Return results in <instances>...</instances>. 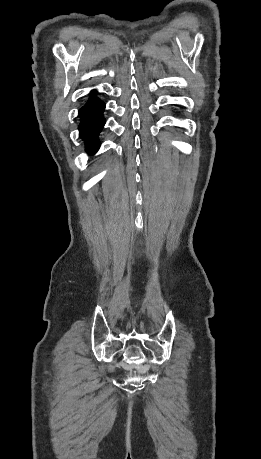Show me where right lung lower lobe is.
<instances>
[{"mask_svg":"<svg viewBox=\"0 0 261 459\" xmlns=\"http://www.w3.org/2000/svg\"><path fill=\"white\" fill-rule=\"evenodd\" d=\"M95 94V91L91 92L90 100L79 111L81 117L80 137L86 141V151L90 154L98 150L100 143L97 136L105 124L103 118L105 104L95 97Z\"/></svg>","mask_w":261,"mask_h":459,"instance_id":"obj_1","label":"right lung lower lobe"}]
</instances>
